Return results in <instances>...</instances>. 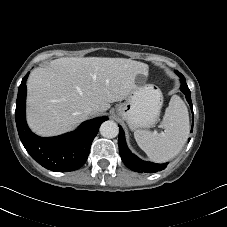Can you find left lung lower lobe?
Listing matches in <instances>:
<instances>
[{"label":"left lung lower lobe","instance_id":"left-lung-lower-lobe-1","mask_svg":"<svg viewBox=\"0 0 227 227\" xmlns=\"http://www.w3.org/2000/svg\"><path fill=\"white\" fill-rule=\"evenodd\" d=\"M176 73L181 78L180 89L185 94L186 99L191 107V110L193 111V105L191 102V94H190V90L185 82V78L181 73H179V72H176ZM192 131H193V125H192L191 132ZM118 144H119V153H120L122 161L129 169H131L135 172L154 173V172H158V171L165 169L168 164V163L155 164V163H151V162H145V161L139 159L134 154H132L126 145L124 131L122 130L121 127L119 128Z\"/></svg>","mask_w":227,"mask_h":227}]
</instances>
